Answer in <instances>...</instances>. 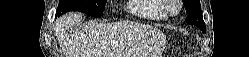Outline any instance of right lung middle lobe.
Wrapping results in <instances>:
<instances>
[{"instance_id":"obj_1","label":"right lung middle lobe","mask_w":249,"mask_h":57,"mask_svg":"<svg viewBox=\"0 0 249 57\" xmlns=\"http://www.w3.org/2000/svg\"><path fill=\"white\" fill-rule=\"evenodd\" d=\"M106 0H60L58 13L68 11H80L92 17H101L105 8Z\"/></svg>"}]
</instances>
